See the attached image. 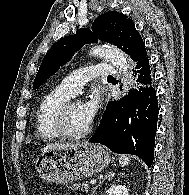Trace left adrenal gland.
I'll return each instance as SVG.
<instances>
[{
    "instance_id": "obj_1",
    "label": "left adrenal gland",
    "mask_w": 189,
    "mask_h": 195,
    "mask_svg": "<svg viewBox=\"0 0 189 195\" xmlns=\"http://www.w3.org/2000/svg\"><path fill=\"white\" fill-rule=\"evenodd\" d=\"M115 176L114 172H109L105 178H103L93 189L90 195H94L96 189L105 181V180H110L113 179Z\"/></svg>"
}]
</instances>
